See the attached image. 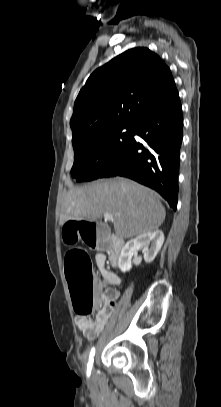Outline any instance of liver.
I'll use <instances>...</instances> for the list:
<instances>
[{"instance_id": "liver-1", "label": "liver", "mask_w": 221, "mask_h": 407, "mask_svg": "<svg viewBox=\"0 0 221 407\" xmlns=\"http://www.w3.org/2000/svg\"><path fill=\"white\" fill-rule=\"evenodd\" d=\"M106 213L113 215L116 235L124 239L157 230L166 216L155 192L116 177L69 190L62 204L60 224L84 219L93 222Z\"/></svg>"}]
</instances>
